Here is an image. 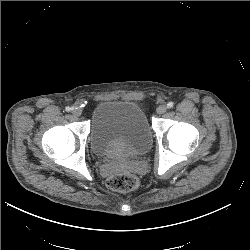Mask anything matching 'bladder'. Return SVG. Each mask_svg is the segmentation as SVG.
<instances>
[{
  "label": "bladder",
  "instance_id": "31cf9c89",
  "mask_svg": "<svg viewBox=\"0 0 250 250\" xmlns=\"http://www.w3.org/2000/svg\"><path fill=\"white\" fill-rule=\"evenodd\" d=\"M152 142V129L145 112L137 103L104 100L94 107L89 143L97 157H135L146 153Z\"/></svg>",
  "mask_w": 250,
  "mask_h": 250
}]
</instances>
